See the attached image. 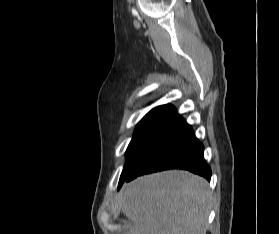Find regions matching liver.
<instances>
[{"mask_svg": "<svg viewBox=\"0 0 279 234\" xmlns=\"http://www.w3.org/2000/svg\"><path fill=\"white\" fill-rule=\"evenodd\" d=\"M210 203L207 181L187 171L139 177L123 189L125 234H206Z\"/></svg>", "mask_w": 279, "mask_h": 234, "instance_id": "1", "label": "liver"}]
</instances>
